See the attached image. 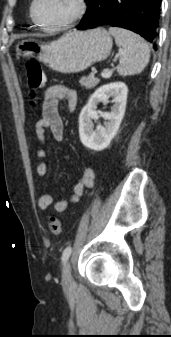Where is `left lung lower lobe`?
<instances>
[{
    "mask_svg": "<svg viewBox=\"0 0 171 337\" xmlns=\"http://www.w3.org/2000/svg\"><path fill=\"white\" fill-rule=\"evenodd\" d=\"M161 0H91L78 30L102 25L129 29L150 42L158 36Z\"/></svg>",
    "mask_w": 171,
    "mask_h": 337,
    "instance_id": "left-lung-lower-lobe-1",
    "label": "left lung lower lobe"
}]
</instances>
